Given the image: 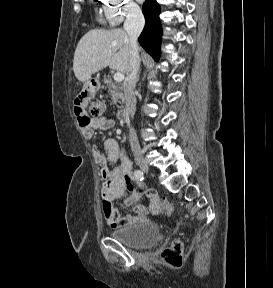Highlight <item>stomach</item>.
Instances as JSON below:
<instances>
[{
	"mask_svg": "<svg viewBox=\"0 0 273 288\" xmlns=\"http://www.w3.org/2000/svg\"><path fill=\"white\" fill-rule=\"evenodd\" d=\"M86 88L91 92V93H96L99 88H100V82L98 79H90L86 83Z\"/></svg>",
	"mask_w": 273,
	"mask_h": 288,
	"instance_id": "1",
	"label": "stomach"
}]
</instances>
